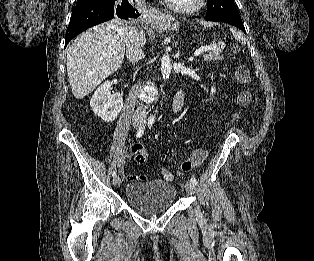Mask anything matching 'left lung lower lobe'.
<instances>
[{"label":"left lung lower lobe","instance_id":"0a47b994","mask_svg":"<svg viewBox=\"0 0 314 261\" xmlns=\"http://www.w3.org/2000/svg\"><path fill=\"white\" fill-rule=\"evenodd\" d=\"M207 21H215V22H224V23H227V24H231L239 29H241L244 33L245 32V28H244V25L242 23V20H238V19H232V20H225V19H211V18H208L206 16L205 18Z\"/></svg>","mask_w":314,"mask_h":261}]
</instances>
